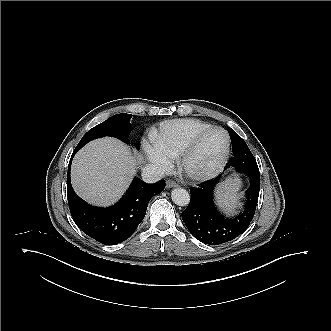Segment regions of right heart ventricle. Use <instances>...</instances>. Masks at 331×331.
I'll list each match as a JSON object with an SVG mask.
<instances>
[{
    "label": "right heart ventricle",
    "mask_w": 331,
    "mask_h": 331,
    "mask_svg": "<svg viewBox=\"0 0 331 331\" xmlns=\"http://www.w3.org/2000/svg\"><path fill=\"white\" fill-rule=\"evenodd\" d=\"M210 127V123L194 118L167 120L160 124L154 144L176 158L193 136Z\"/></svg>",
    "instance_id": "e07e8e85"
}]
</instances>
